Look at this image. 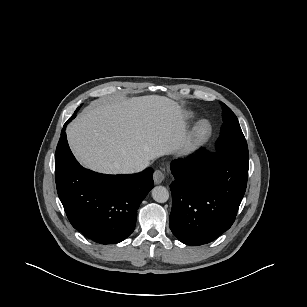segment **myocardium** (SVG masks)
<instances>
[{"instance_id":"myocardium-1","label":"myocardium","mask_w":307,"mask_h":307,"mask_svg":"<svg viewBox=\"0 0 307 307\" xmlns=\"http://www.w3.org/2000/svg\"><path fill=\"white\" fill-rule=\"evenodd\" d=\"M213 128L210 122L202 120L192 129L187 141V151L192 153L202 148L211 138Z\"/></svg>"}]
</instances>
